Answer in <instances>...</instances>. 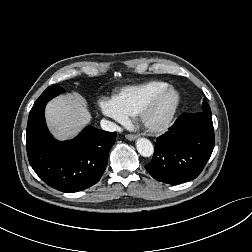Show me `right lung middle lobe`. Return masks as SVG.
<instances>
[{"label":"right lung middle lobe","instance_id":"obj_1","mask_svg":"<svg viewBox=\"0 0 252 252\" xmlns=\"http://www.w3.org/2000/svg\"><path fill=\"white\" fill-rule=\"evenodd\" d=\"M65 92V90L58 86H50L48 87L42 95L37 99L31 111L38 109L40 106L45 105L49 100L53 97L59 95L60 93Z\"/></svg>","mask_w":252,"mask_h":252}]
</instances>
